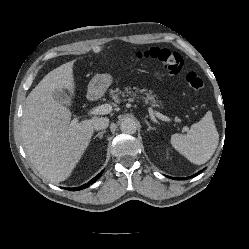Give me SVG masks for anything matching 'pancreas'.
Masks as SVG:
<instances>
[{
    "instance_id": "obj_1",
    "label": "pancreas",
    "mask_w": 249,
    "mask_h": 249,
    "mask_svg": "<svg viewBox=\"0 0 249 249\" xmlns=\"http://www.w3.org/2000/svg\"><path fill=\"white\" fill-rule=\"evenodd\" d=\"M145 90H141L140 93H143ZM122 95L123 97L125 96H128V95H131L133 94V96H135V93H132L130 88H126L124 91H121L119 90L118 88L116 89H111L110 90V95L112 97V100H114L116 103H119L121 101V99L119 98V95ZM146 94V98L145 99V102L146 103H150L153 107H159L160 105V101H158L156 99V96L153 95L151 92H147L145 93ZM134 98H129L128 101H133Z\"/></svg>"
}]
</instances>
